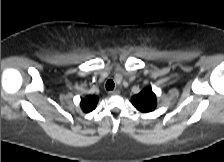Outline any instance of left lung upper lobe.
Returning <instances> with one entry per match:
<instances>
[{"label":"left lung upper lobe","mask_w":224,"mask_h":162,"mask_svg":"<svg viewBox=\"0 0 224 162\" xmlns=\"http://www.w3.org/2000/svg\"><path fill=\"white\" fill-rule=\"evenodd\" d=\"M132 103L141 112H151L156 108V95L150 88H145L132 97Z\"/></svg>","instance_id":"left-lung-upper-lobe-1"}]
</instances>
